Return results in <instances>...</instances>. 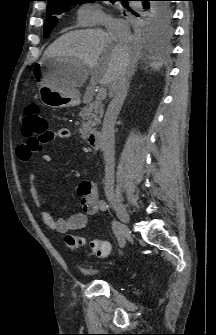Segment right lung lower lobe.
<instances>
[{"label": "right lung lower lobe", "instance_id": "98d812e1", "mask_svg": "<svg viewBox=\"0 0 216 335\" xmlns=\"http://www.w3.org/2000/svg\"><path fill=\"white\" fill-rule=\"evenodd\" d=\"M122 1V4H123V6H127V2L126 1H124V0H121ZM138 1H142V3H143V6H142V8H140L139 9V14L142 16V17H145V18H148V17H150L152 14H153V12H154V9H155V5L157 4V3H159V2H164V0H161V1H154V0H138ZM166 2V1H165ZM171 11V10H170ZM171 12H169V14H170ZM171 15V14H170ZM168 16L167 18H168V20H170L171 18V16ZM164 19V18H163Z\"/></svg>", "mask_w": 216, "mask_h": 335}]
</instances>
